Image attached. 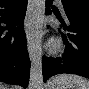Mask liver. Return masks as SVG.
<instances>
[{
    "instance_id": "liver-1",
    "label": "liver",
    "mask_w": 89,
    "mask_h": 89,
    "mask_svg": "<svg viewBox=\"0 0 89 89\" xmlns=\"http://www.w3.org/2000/svg\"><path fill=\"white\" fill-rule=\"evenodd\" d=\"M2 87H4V86H2ZM2 89H7L6 87H4V88H2Z\"/></svg>"
}]
</instances>
